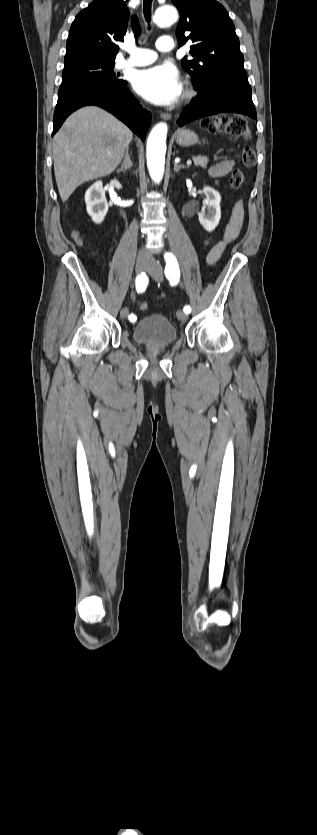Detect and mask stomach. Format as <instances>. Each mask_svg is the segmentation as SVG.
<instances>
[{
  "instance_id": "0dacf381",
  "label": "stomach",
  "mask_w": 317,
  "mask_h": 835,
  "mask_svg": "<svg viewBox=\"0 0 317 835\" xmlns=\"http://www.w3.org/2000/svg\"><path fill=\"white\" fill-rule=\"evenodd\" d=\"M176 143L182 147H189L199 142L198 135L189 129H180L175 133Z\"/></svg>"
}]
</instances>
